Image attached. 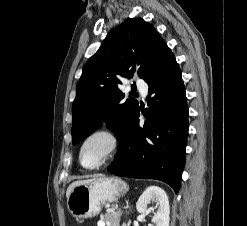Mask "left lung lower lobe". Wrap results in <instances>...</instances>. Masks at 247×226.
<instances>
[{
    "instance_id": "left-lung-lower-lobe-1",
    "label": "left lung lower lobe",
    "mask_w": 247,
    "mask_h": 226,
    "mask_svg": "<svg viewBox=\"0 0 247 226\" xmlns=\"http://www.w3.org/2000/svg\"><path fill=\"white\" fill-rule=\"evenodd\" d=\"M149 85L147 120L139 125V107L119 132L120 142L107 170L115 175L157 179L178 193L188 135L185 88L176 59L167 44L143 78Z\"/></svg>"
}]
</instances>
